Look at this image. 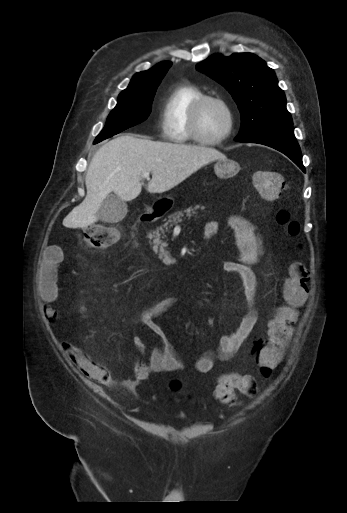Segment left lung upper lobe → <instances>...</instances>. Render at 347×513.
<instances>
[{
  "mask_svg": "<svg viewBox=\"0 0 347 513\" xmlns=\"http://www.w3.org/2000/svg\"><path fill=\"white\" fill-rule=\"evenodd\" d=\"M196 67L223 85L235 100L241 113L236 141L242 142L267 129L293 126L274 71L256 55L214 54Z\"/></svg>",
  "mask_w": 347,
  "mask_h": 513,
  "instance_id": "left-lung-upper-lobe-1",
  "label": "left lung upper lobe"
}]
</instances>
